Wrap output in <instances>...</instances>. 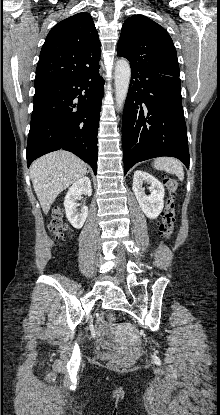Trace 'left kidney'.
<instances>
[{"mask_svg": "<svg viewBox=\"0 0 220 415\" xmlns=\"http://www.w3.org/2000/svg\"><path fill=\"white\" fill-rule=\"evenodd\" d=\"M150 184V195H146L143 183ZM133 193L142 209L143 213L150 219H156L164 207V187L152 175L137 170L133 177Z\"/></svg>", "mask_w": 220, "mask_h": 415, "instance_id": "5707ae66", "label": "left kidney"}]
</instances>
